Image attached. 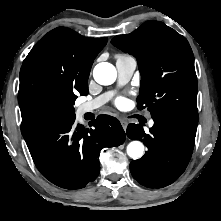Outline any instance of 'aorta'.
Returning <instances> with one entry per match:
<instances>
[{
	"mask_svg": "<svg viewBox=\"0 0 221 221\" xmlns=\"http://www.w3.org/2000/svg\"><path fill=\"white\" fill-rule=\"evenodd\" d=\"M93 76L97 83L101 85H110L115 82L117 71L115 67L108 63L102 62L95 66ZM144 146L140 141H132L127 146V154L132 159H139L143 156Z\"/></svg>",
	"mask_w": 221,
	"mask_h": 221,
	"instance_id": "aorta-1",
	"label": "aorta"
}]
</instances>
